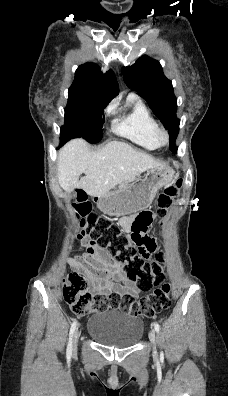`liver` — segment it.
Returning a JSON list of instances; mask_svg holds the SVG:
<instances>
[{
	"mask_svg": "<svg viewBox=\"0 0 228 396\" xmlns=\"http://www.w3.org/2000/svg\"><path fill=\"white\" fill-rule=\"evenodd\" d=\"M164 166L165 163L124 142L111 141L92 151L86 141L75 139L59 151L58 182L66 192L80 188L95 197L146 170ZM83 173L85 176L79 180Z\"/></svg>",
	"mask_w": 228,
	"mask_h": 396,
	"instance_id": "obj_1",
	"label": "liver"
}]
</instances>
